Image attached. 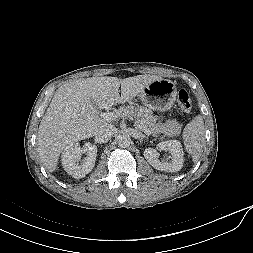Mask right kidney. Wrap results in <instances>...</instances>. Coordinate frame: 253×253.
I'll list each match as a JSON object with an SVG mask.
<instances>
[{
	"mask_svg": "<svg viewBox=\"0 0 253 253\" xmlns=\"http://www.w3.org/2000/svg\"><path fill=\"white\" fill-rule=\"evenodd\" d=\"M82 154H87V157L79 164ZM96 156L97 147L95 145L88 142L81 147L79 143H72L62 152V166L69 175L80 179L92 171L95 166Z\"/></svg>",
	"mask_w": 253,
	"mask_h": 253,
	"instance_id": "right-kidney-1",
	"label": "right kidney"
}]
</instances>
